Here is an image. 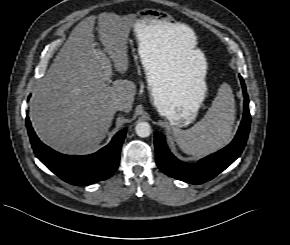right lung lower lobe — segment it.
Listing matches in <instances>:
<instances>
[{
	"mask_svg": "<svg viewBox=\"0 0 290 245\" xmlns=\"http://www.w3.org/2000/svg\"><path fill=\"white\" fill-rule=\"evenodd\" d=\"M26 126L36 157L65 182L85 186L111 177L117 170L120 149L126 129L119 131L111 142L98 152L85 156L65 155L43 144L36 136L29 117Z\"/></svg>",
	"mask_w": 290,
	"mask_h": 245,
	"instance_id": "98d812e1",
	"label": "right lung lower lobe"
}]
</instances>
